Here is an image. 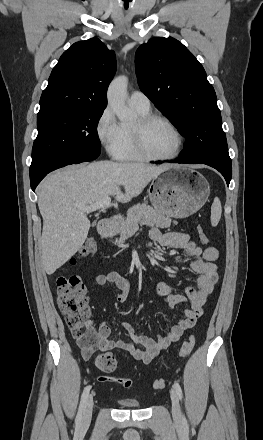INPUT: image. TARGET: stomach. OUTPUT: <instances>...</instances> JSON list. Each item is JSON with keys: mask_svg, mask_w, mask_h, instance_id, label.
<instances>
[{"mask_svg": "<svg viewBox=\"0 0 263 440\" xmlns=\"http://www.w3.org/2000/svg\"><path fill=\"white\" fill-rule=\"evenodd\" d=\"M210 194L208 181L199 172L184 166H173L155 178L149 199L163 215L182 219L196 213Z\"/></svg>", "mask_w": 263, "mask_h": 440, "instance_id": "stomach-1", "label": "stomach"}]
</instances>
